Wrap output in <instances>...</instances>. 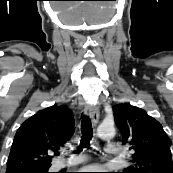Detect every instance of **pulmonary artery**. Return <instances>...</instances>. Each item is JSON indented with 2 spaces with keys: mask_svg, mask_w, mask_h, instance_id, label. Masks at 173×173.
<instances>
[{
  "mask_svg": "<svg viewBox=\"0 0 173 173\" xmlns=\"http://www.w3.org/2000/svg\"><path fill=\"white\" fill-rule=\"evenodd\" d=\"M104 151L108 155L116 156L119 153V148L117 146H106L104 148ZM84 160H85V158L83 155L74 156L67 161L61 162L60 167L73 166V165L83 162Z\"/></svg>",
  "mask_w": 173,
  "mask_h": 173,
  "instance_id": "pulmonary-artery-1",
  "label": "pulmonary artery"
}]
</instances>
